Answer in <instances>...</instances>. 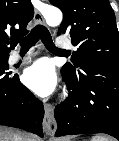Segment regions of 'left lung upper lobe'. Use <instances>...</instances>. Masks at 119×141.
<instances>
[{
  "label": "left lung upper lobe",
  "mask_w": 119,
  "mask_h": 141,
  "mask_svg": "<svg viewBox=\"0 0 119 141\" xmlns=\"http://www.w3.org/2000/svg\"><path fill=\"white\" fill-rule=\"evenodd\" d=\"M64 18L58 34H69L77 47L61 70L78 75L86 68L119 67V35L114 11L108 0H50Z\"/></svg>",
  "instance_id": "obj_1"
}]
</instances>
